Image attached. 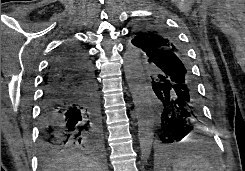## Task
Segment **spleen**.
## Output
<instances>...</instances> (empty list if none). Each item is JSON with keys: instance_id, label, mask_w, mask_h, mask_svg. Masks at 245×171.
<instances>
[{"instance_id": "spleen-1", "label": "spleen", "mask_w": 245, "mask_h": 171, "mask_svg": "<svg viewBox=\"0 0 245 171\" xmlns=\"http://www.w3.org/2000/svg\"><path fill=\"white\" fill-rule=\"evenodd\" d=\"M173 171H215L205 157L189 153L181 155L173 162Z\"/></svg>"}]
</instances>
